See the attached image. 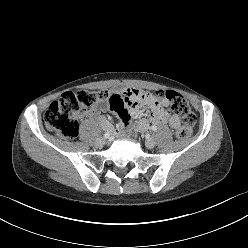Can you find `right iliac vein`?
<instances>
[{"label": "right iliac vein", "mask_w": 248, "mask_h": 248, "mask_svg": "<svg viewBox=\"0 0 248 248\" xmlns=\"http://www.w3.org/2000/svg\"><path fill=\"white\" fill-rule=\"evenodd\" d=\"M95 143L97 146H103L106 143V140L105 138H98Z\"/></svg>", "instance_id": "63e3f726"}]
</instances>
